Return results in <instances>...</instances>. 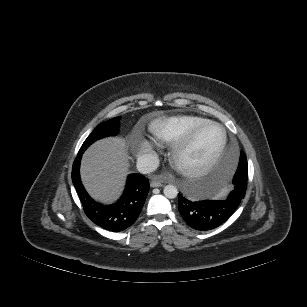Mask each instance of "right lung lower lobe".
I'll list each match as a JSON object with an SVG mask.
<instances>
[{"mask_svg":"<svg viewBox=\"0 0 307 307\" xmlns=\"http://www.w3.org/2000/svg\"><path fill=\"white\" fill-rule=\"evenodd\" d=\"M84 152L79 151L72 168V182L76 188L85 214L98 226L113 232L123 231L139 216L149 192L148 179L141 174L128 176L125 191L113 205L104 206L94 201L84 189L80 179V161Z\"/></svg>","mask_w":307,"mask_h":307,"instance_id":"obj_1","label":"right lung lower lobe"}]
</instances>
